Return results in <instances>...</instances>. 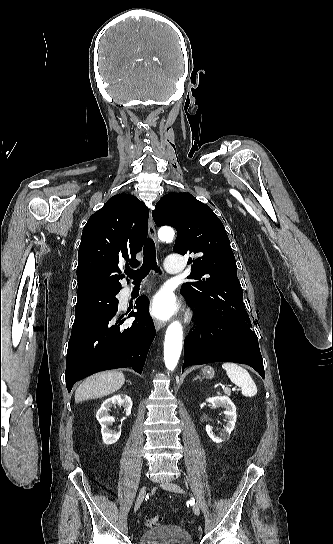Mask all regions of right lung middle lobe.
<instances>
[{"label":"right lung middle lobe","mask_w":333,"mask_h":544,"mask_svg":"<svg viewBox=\"0 0 333 544\" xmlns=\"http://www.w3.org/2000/svg\"><path fill=\"white\" fill-rule=\"evenodd\" d=\"M117 293H102L78 300L75 307V320L72 329L117 309L118 299L115 297Z\"/></svg>","instance_id":"right-lung-middle-lobe-1"}]
</instances>
